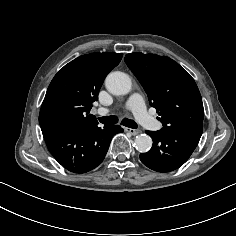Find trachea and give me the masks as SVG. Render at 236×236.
<instances>
[{"instance_id": "obj_1", "label": "trachea", "mask_w": 236, "mask_h": 236, "mask_svg": "<svg viewBox=\"0 0 236 236\" xmlns=\"http://www.w3.org/2000/svg\"><path fill=\"white\" fill-rule=\"evenodd\" d=\"M98 120L103 123V124H116L118 122V117L117 116H106V117H100ZM121 124L129 127V128H137V123L134 120L124 118L121 121Z\"/></svg>"}]
</instances>
